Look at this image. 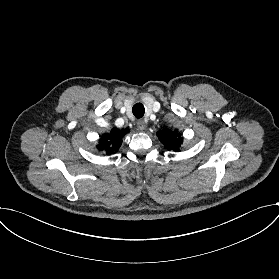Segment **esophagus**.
<instances>
[{"mask_svg": "<svg viewBox=\"0 0 279 279\" xmlns=\"http://www.w3.org/2000/svg\"><path fill=\"white\" fill-rule=\"evenodd\" d=\"M137 128H138V130H140V131H143L145 128H146V123H145V121L144 120H138L137 121Z\"/></svg>", "mask_w": 279, "mask_h": 279, "instance_id": "obj_1", "label": "esophagus"}]
</instances>
